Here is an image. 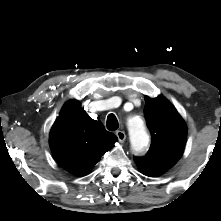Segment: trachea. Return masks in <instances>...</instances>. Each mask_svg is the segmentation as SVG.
Wrapping results in <instances>:
<instances>
[{"label": "trachea", "instance_id": "trachea-1", "mask_svg": "<svg viewBox=\"0 0 221 221\" xmlns=\"http://www.w3.org/2000/svg\"><path fill=\"white\" fill-rule=\"evenodd\" d=\"M106 125L107 129L110 131H115L118 129L119 127L118 120L114 114L108 115Z\"/></svg>", "mask_w": 221, "mask_h": 221}]
</instances>
